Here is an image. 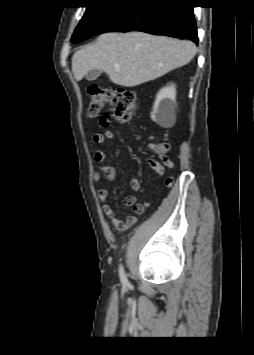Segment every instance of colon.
I'll use <instances>...</instances> for the list:
<instances>
[{
    "label": "colon",
    "mask_w": 254,
    "mask_h": 355,
    "mask_svg": "<svg viewBox=\"0 0 254 355\" xmlns=\"http://www.w3.org/2000/svg\"><path fill=\"white\" fill-rule=\"evenodd\" d=\"M90 102L87 109L89 118L94 119L101 116L106 104L112 109L114 119L122 124H128L132 121L135 107L136 94L134 91L123 87H106L90 86L88 88ZM105 118L100 119V124ZM158 154L163 155L169 149L167 142L154 143L151 145ZM173 177L165 180V186L169 187L173 184Z\"/></svg>",
    "instance_id": "colon-1"
}]
</instances>
